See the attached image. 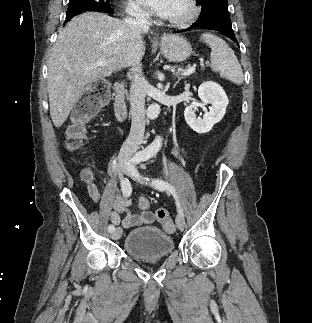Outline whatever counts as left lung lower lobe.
<instances>
[{
	"label": "left lung lower lobe",
	"instance_id": "0a47b994",
	"mask_svg": "<svg viewBox=\"0 0 312 323\" xmlns=\"http://www.w3.org/2000/svg\"><path fill=\"white\" fill-rule=\"evenodd\" d=\"M193 28L218 31L221 34L229 37L230 39H232L233 41L238 43V41L234 35L232 26H231V21L220 19L219 22H211V23H207L204 25H194L193 24L190 28H188L186 30L193 29ZM182 31H184V30H181V32Z\"/></svg>",
	"mask_w": 312,
	"mask_h": 323
}]
</instances>
